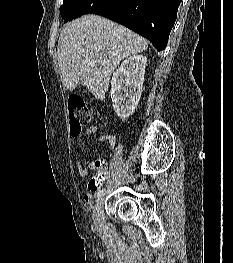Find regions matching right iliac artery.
Here are the masks:
<instances>
[{"instance_id": "obj_1", "label": "right iliac artery", "mask_w": 233, "mask_h": 263, "mask_svg": "<svg viewBox=\"0 0 233 263\" xmlns=\"http://www.w3.org/2000/svg\"><path fill=\"white\" fill-rule=\"evenodd\" d=\"M103 193H104V189H102V190H99L97 193H96V197H101L102 195H103Z\"/></svg>"}]
</instances>
